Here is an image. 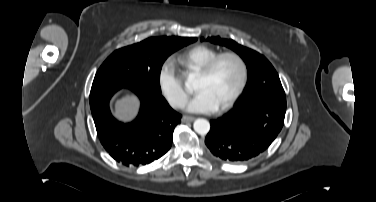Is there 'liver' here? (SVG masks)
Returning <instances> with one entry per match:
<instances>
[{
  "mask_svg": "<svg viewBox=\"0 0 376 202\" xmlns=\"http://www.w3.org/2000/svg\"><path fill=\"white\" fill-rule=\"evenodd\" d=\"M139 109V101L137 97L126 95L115 102V117L124 123L132 122Z\"/></svg>",
  "mask_w": 376,
  "mask_h": 202,
  "instance_id": "6515ba94",
  "label": "liver"
}]
</instances>
